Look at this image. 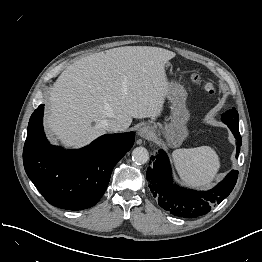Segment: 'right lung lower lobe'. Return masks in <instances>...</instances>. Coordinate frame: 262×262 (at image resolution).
<instances>
[{"label":"right lung lower lobe","mask_w":262,"mask_h":262,"mask_svg":"<svg viewBox=\"0 0 262 262\" xmlns=\"http://www.w3.org/2000/svg\"><path fill=\"white\" fill-rule=\"evenodd\" d=\"M44 105L31 115L23 150L25 171L52 205L67 210L94 206L117 162L131 149L135 133L107 134L79 150L50 145L42 125Z\"/></svg>","instance_id":"obj_1"}]
</instances>
